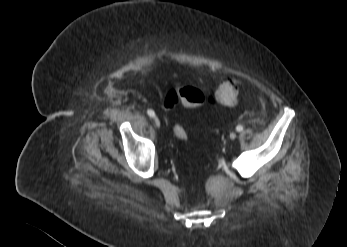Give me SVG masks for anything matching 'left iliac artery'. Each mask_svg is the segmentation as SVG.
<instances>
[{"label": "left iliac artery", "instance_id": "left-iliac-artery-1", "mask_svg": "<svg viewBox=\"0 0 347 247\" xmlns=\"http://www.w3.org/2000/svg\"><path fill=\"white\" fill-rule=\"evenodd\" d=\"M236 131H238V132L243 131V126L238 125V126L236 127Z\"/></svg>", "mask_w": 347, "mask_h": 247}]
</instances>
